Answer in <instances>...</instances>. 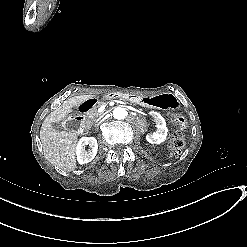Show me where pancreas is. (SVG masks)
Returning a JSON list of instances; mask_svg holds the SVG:
<instances>
[{"mask_svg":"<svg viewBox=\"0 0 247 247\" xmlns=\"http://www.w3.org/2000/svg\"><path fill=\"white\" fill-rule=\"evenodd\" d=\"M102 105L101 102L97 103L94 107H92L88 112H87V117L89 119L97 118L99 117L102 113H98V108Z\"/></svg>","mask_w":247,"mask_h":247,"instance_id":"cf45deb5","label":"pancreas"}]
</instances>
